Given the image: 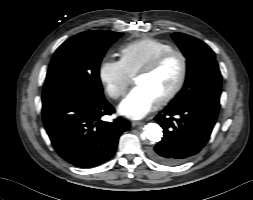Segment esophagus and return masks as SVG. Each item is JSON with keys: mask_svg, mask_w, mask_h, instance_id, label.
<instances>
[{"mask_svg": "<svg viewBox=\"0 0 253 200\" xmlns=\"http://www.w3.org/2000/svg\"><path fill=\"white\" fill-rule=\"evenodd\" d=\"M143 124H144V123L141 122V121H132V122H131L132 127L141 126V125H143Z\"/></svg>", "mask_w": 253, "mask_h": 200, "instance_id": "obj_1", "label": "esophagus"}]
</instances>
